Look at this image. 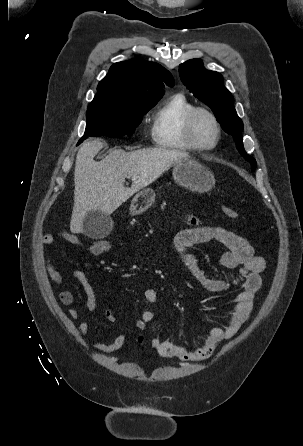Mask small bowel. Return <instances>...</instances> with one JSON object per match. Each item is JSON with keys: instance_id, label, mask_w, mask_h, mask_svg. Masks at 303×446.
<instances>
[{"instance_id": "1", "label": "small bowel", "mask_w": 303, "mask_h": 446, "mask_svg": "<svg viewBox=\"0 0 303 446\" xmlns=\"http://www.w3.org/2000/svg\"><path fill=\"white\" fill-rule=\"evenodd\" d=\"M61 238L76 245L84 246L82 240L74 233L62 232ZM216 241L224 248V253L220 258V263L227 269H237L238 276L233 282L224 279L209 277L199 267L196 258L190 253V249ZM54 242V236L45 233L41 237L43 245H51ZM101 241H95L87 248L92 253L97 251ZM173 249L184 269L197 281V283L206 291L218 293L228 290L232 285H239L241 291L235 297V307L231 315L226 320L224 326L213 327L203 342L196 347H187L170 341L152 340V347L165 358H178L184 361H200L208 358L215 351L217 346L232 338L239 329L250 318L253 310L254 295L259 290L262 279L261 273L265 269V260L257 256L250 243L238 234L220 226H207L202 224L194 216H188L186 227L179 231L173 238ZM47 272L49 277L56 284L63 283L61 273L54 265L47 260ZM75 279L80 283L86 296V304L89 310L94 311L97 308V301L93 287L89 283L86 275L82 271L74 273ZM144 298L149 305L142 313L141 317L135 323L138 330H144L154 319L155 313L153 305L158 298V292L155 288H148L144 292ZM60 302L69 306L74 301L71 291L63 290L59 293ZM68 314L72 319H78L80 312L71 308ZM105 317L109 322H115L116 317L113 311L107 307ZM92 329L89 322H81L78 326L80 334L85 335ZM125 344V336L119 335L111 341L97 339L93 346L104 352L112 353Z\"/></svg>"}]
</instances>
